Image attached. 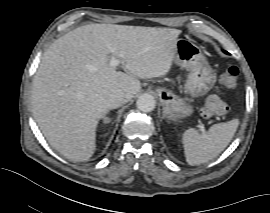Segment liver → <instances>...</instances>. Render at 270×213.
<instances>
[{
  "mask_svg": "<svg viewBox=\"0 0 270 213\" xmlns=\"http://www.w3.org/2000/svg\"><path fill=\"white\" fill-rule=\"evenodd\" d=\"M181 31L171 28L89 24L57 39L33 80L34 118L49 144L67 159L88 161L96 150L98 120L113 107L109 95L140 90L138 78L165 76ZM119 60L117 71L111 58Z\"/></svg>",
  "mask_w": 270,
  "mask_h": 213,
  "instance_id": "6515ba94",
  "label": "liver"
}]
</instances>
